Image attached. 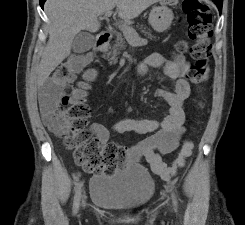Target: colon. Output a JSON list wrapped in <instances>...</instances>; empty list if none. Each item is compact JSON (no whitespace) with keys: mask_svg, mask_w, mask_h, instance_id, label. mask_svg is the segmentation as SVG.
I'll use <instances>...</instances> for the list:
<instances>
[{"mask_svg":"<svg viewBox=\"0 0 245 225\" xmlns=\"http://www.w3.org/2000/svg\"><path fill=\"white\" fill-rule=\"evenodd\" d=\"M182 12L187 19L189 36L196 43L191 47L195 65L191 77L196 84L208 78L211 56L212 24L208 8L198 0H183ZM181 48L183 44L179 45ZM81 63V55L76 54L65 60L56 73L46 80L44 87L49 94L61 95L60 107L57 109L58 121L56 134L63 139L66 146L74 151L76 161L88 172L105 171L112 173L121 166L127 155V148L121 144L108 143L101 148L98 140L92 137L88 128L90 109L84 103L83 87H72L73 70ZM191 154V144L185 142L175 164L168 167L159 159L154 160L153 169L163 179L171 180L176 168L181 167Z\"/></svg>","mask_w":245,"mask_h":225,"instance_id":"colon-1","label":"colon"}]
</instances>
